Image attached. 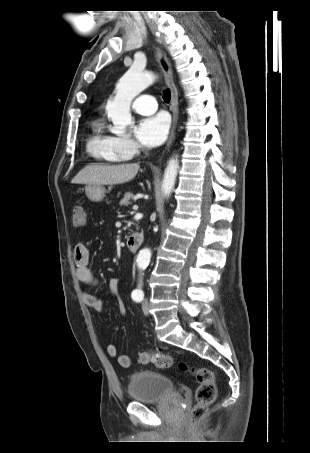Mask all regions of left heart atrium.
Instances as JSON below:
<instances>
[{
    "instance_id": "1",
    "label": "left heart atrium",
    "mask_w": 310,
    "mask_h": 453,
    "mask_svg": "<svg viewBox=\"0 0 310 453\" xmlns=\"http://www.w3.org/2000/svg\"><path fill=\"white\" fill-rule=\"evenodd\" d=\"M169 127V117L160 113L142 119L135 130V135L144 146L154 147L166 139Z\"/></svg>"
}]
</instances>
